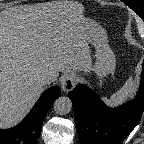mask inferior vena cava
Instances as JSON below:
<instances>
[{"mask_svg":"<svg viewBox=\"0 0 144 144\" xmlns=\"http://www.w3.org/2000/svg\"><path fill=\"white\" fill-rule=\"evenodd\" d=\"M56 80H57V75L54 72H48L42 76L41 83L43 85H48Z\"/></svg>","mask_w":144,"mask_h":144,"instance_id":"inferior-vena-cava-1","label":"inferior vena cava"}]
</instances>
